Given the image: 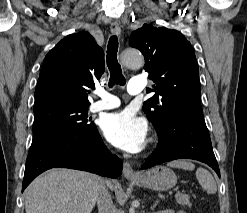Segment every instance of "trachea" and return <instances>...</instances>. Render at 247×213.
<instances>
[{
  "instance_id": "trachea-1",
  "label": "trachea",
  "mask_w": 247,
  "mask_h": 213,
  "mask_svg": "<svg viewBox=\"0 0 247 213\" xmlns=\"http://www.w3.org/2000/svg\"><path fill=\"white\" fill-rule=\"evenodd\" d=\"M118 39L116 36H111L107 46L106 62L110 71L109 87L114 85L124 86L126 80L122 74V69L117 60Z\"/></svg>"
}]
</instances>
